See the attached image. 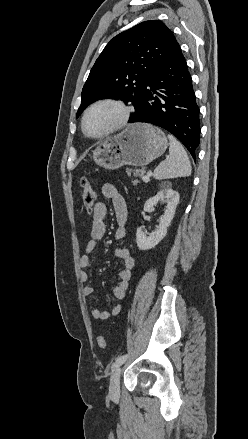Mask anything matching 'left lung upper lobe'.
Wrapping results in <instances>:
<instances>
[{
    "instance_id": "left-lung-upper-lobe-1",
    "label": "left lung upper lobe",
    "mask_w": 248,
    "mask_h": 439,
    "mask_svg": "<svg viewBox=\"0 0 248 439\" xmlns=\"http://www.w3.org/2000/svg\"><path fill=\"white\" fill-rule=\"evenodd\" d=\"M176 44L172 31L159 20L142 22L115 36L90 71L77 117L92 102L106 98L131 102L136 112L149 81Z\"/></svg>"
}]
</instances>
